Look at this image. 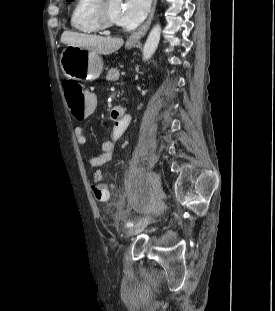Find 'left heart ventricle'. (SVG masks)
I'll use <instances>...</instances> for the list:
<instances>
[{
  "label": "left heart ventricle",
  "instance_id": "b2bd125f",
  "mask_svg": "<svg viewBox=\"0 0 275 311\" xmlns=\"http://www.w3.org/2000/svg\"><path fill=\"white\" fill-rule=\"evenodd\" d=\"M121 7H122V3L120 0H109L108 1L109 15L116 22H118L117 19H118V15H119Z\"/></svg>",
  "mask_w": 275,
  "mask_h": 311
}]
</instances>
